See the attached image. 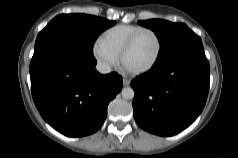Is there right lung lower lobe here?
Segmentation results:
<instances>
[{"label":"right lung lower lobe","instance_id":"1","mask_svg":"<svg viewBox=\"0 0 238 158\" xmlns=\"http://www.w3.org/2000/svg\"><path fill=\"white\" fill-rule=\"evenodd\" d=\"M96 59L61 40L35 48L30 63L31 91L43 119L60 133L82 137L97 131L109 102L122 89L117 73L101 75Z\"/></svg>","mask_w":238,"mask_h":158}]
</instances>
